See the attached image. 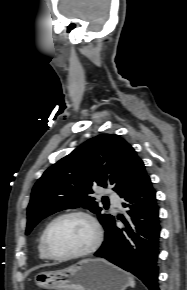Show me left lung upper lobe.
Segmentation results:
<instances>
[{"label":"left lung upper lobe","instance_id":"1","mask_svg":"<svg viewBox=\"0 0 187 290\" xmlns=\"http://www.w3.org/2000/svg\"><path fill=\"white\" fill-rule=\"evenodd\" d=\"M146 175L143 161L118 135L101 134L89 139L48 168L35 184L28 206L26 234L43 218L70 208L84 207L98 215L106 229L114 220L101 214L90 196L92 186H113L123 195Z\"/></svg>","mask_w":187,"mask_h":290}]
</instances>
